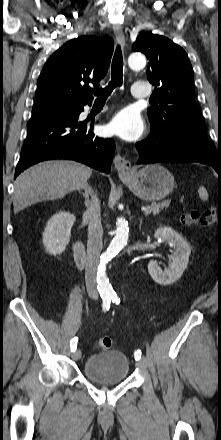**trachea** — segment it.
<instances>
[{"label": "trachea", "mask_w": 221, "mask_h": 440, "mask_svg": "<svg viewBox=\"0 0 221 440\" xmlns=\"http://www.w3.org/2000/svg\"><path fill=\"white\" fill-rule=\"evenodd\" d=\"M123 83V57L120 46H117L113 60H112V75L111 81L104 89H93L91 93L98 97V99H106L115 87L122 86Z\"/></svg>", "instance_id": "1"}]
</instances>
